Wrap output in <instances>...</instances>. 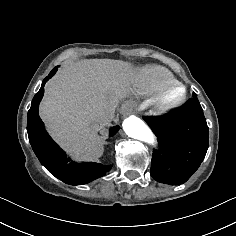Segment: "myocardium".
I'll return each mask as SVG.
<instances>
[{"label":"myocardium","mask_w":236,"mask_h":236,"mask_svg":"<svg viewBox=\"0 0 236 236\" xmlns=\"http://www.w3.org/2000/svg\"><path fill=\"white\" fill-rule=\"evenodd\" d=\"M187 98L185 86L176 82L161 89L155 97V108L160 114H169L179 108Z\"/></svg>","instance_id":"obj_1"}]
</instances>
